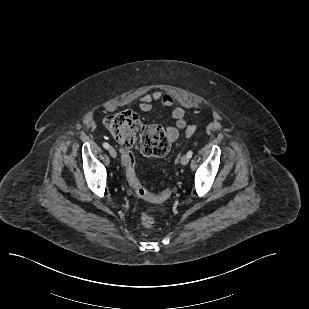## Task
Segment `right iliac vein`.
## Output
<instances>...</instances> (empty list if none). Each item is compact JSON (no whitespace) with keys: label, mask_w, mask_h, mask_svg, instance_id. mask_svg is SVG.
I'll use <instances>...</instances> for the list:
<instances>
[{"label":"right iliac vein","mask_w":309,"mask_h":309,"mask_svg":"<svg viewBox=\"0 0 309 309\" xmlns=\"http://www.w3.org/2000/svg\"><path fill=\"white\" fill-rule=\"evenodd\" d=\"M109 153H110V156L112 158H116L117 157V152H116V150L113 147L109 148Z\"/></svg>","instance_id":"obj_1"}]
</instances>
